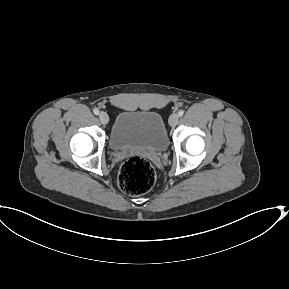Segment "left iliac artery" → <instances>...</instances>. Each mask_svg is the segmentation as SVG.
<instances>
[{"label": "left iliac artery", "mask_w": 289, "mask_h": 289, "mask_svg": "<svg viewBox=\"0 0 289 289\" xmlns=\"http://www.w3.org/2000/svg\"><path fill=\"white\" fill-rule=\"evenodd\" d=\"M184 115V110H180L179 112H178V116L179 117H182Z\"/></svg>", "instance_id": "1"}]
</instances>
